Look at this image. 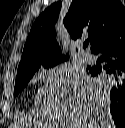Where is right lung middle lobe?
<instances>
[{
	"label": "right lung middle lobe",
	"mask_w": 125,
	"mask_h": 128,
	"mask_svg": "<svg viewBox=\"0 0 125 128\" xmlns=\"http://www.w3.org/2000/svg\"><path fill=\"white\" fill-rule=\"evenodd\" d=\"M62 61L65 60L54 58L50 60L40 61L30 65L23 70L17 71V77L14 87V96L18 95L24 89V87L28 84L34 73L39 69L41 65H43L45 68H51ZM96 79L99 80V82L101 83L106 81V77L104 75L98 76Z\"/></svg>",
	"instance_id": "1"
}]
</instances>
